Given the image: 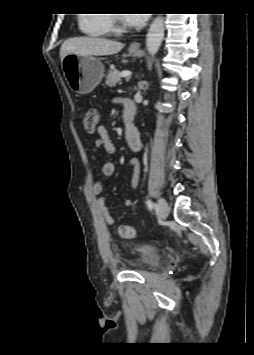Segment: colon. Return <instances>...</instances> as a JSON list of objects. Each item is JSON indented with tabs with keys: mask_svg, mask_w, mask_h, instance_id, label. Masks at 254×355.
Returning a JSON list of instances; mask_svg holds the SVG:
<instances>
[{
	"mask_svg": "<svg viewBox=\"0 0 254 355\" xmlns=\"http://www.w3.org/2000/svg\"><path fill=\"white\" fill-rule=\"evenodd\" d=\"M83 126L86 131L92 133L96 130L99 122V111L96 108H88L82 118ZM118 234L122 238H132L135 235V229L132 225H120L118 226Z\"/></svg>",
	"mask_w": 254,
	"mask_h": 355,
	"instance_id": "1",
	"label": "colon"
}]
</instances>
